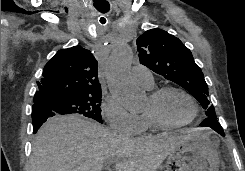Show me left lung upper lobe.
<instances>
[{
	"mask_svg": "<svg viewBox=\"0 0 245 171\" xmlns=\"http://www.w3.org/2000/svg\"><path fill=\"white\" fill-rule=\"evenodd\" d=\"M140 63L190 92L206 110V116L217 119L208 99V86L191 51L175 36L161 29H151L137 39Z\"/></svg>",
	"mask_w": 245,
	"mask_h": 171,
	"instance_id": "1",
	"label": "left lung upper lobe"
}]
</instances>
